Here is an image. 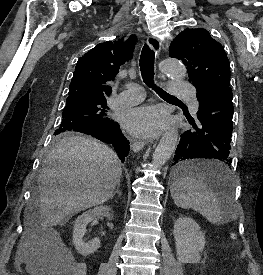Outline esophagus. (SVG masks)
<instances>
[{
    "instance_id": "obj_1",
    "label": "esophagus",
    "mask_w": 263,
    "mask_h": 275,
    "mask_svg": "<svg viewBox=\"0 0 263 275\" xmlns=\"http://www.w3.org/2000/svg\"><path fill=\"white\" fill-rule=\"evenodd\" d=\"M148 46L154 51L156 58H159L161 53V41L155 36H149L147 39ZM151 142V139L148 142ZM147 143L146 140L133 139L131 141V147L134 152L140 151Z\"/></svg>"
}]
</instances>
